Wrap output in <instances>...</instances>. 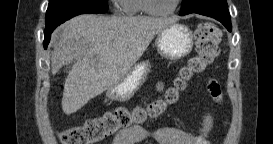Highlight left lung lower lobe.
I'll return each mask as SVG.
<instances>
[{
  "mask_svg": "<svg viewBox=\"0 0 273 144\" xmlns=\"http://www.w3.org/2000/svg\"><path fill=\"white\" fill-rule=\"evenodd\" d=\"M196 8L187 13H180L181 16L190 13H197L205 16H209L220 21L228 31H231V20L230 14L227 8L226 0H216V1H203L201 3H196Z\"/></svg>",
  "mask_w": 273,
  "mask_h": 144,
  "instance_id": "0a47b994",
  "label": "left lung lower lobe"
}]
</instances>
